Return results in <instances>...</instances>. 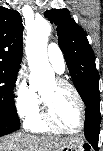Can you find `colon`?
I'll return each instance as SVG.
<instances>
[{
  "label": "colon",
  "instance_id": "colon-1",
  "mask_svg": "<svg viewBox=\"0 0 103 151\" xmlns=\"http://www.w3.org/2000/svg\"><path fill=\"white\" fill-rule=\"evenodd\" d=\"M84 151H90V149L89 148H85Z\"/></svg>",
  "mask_w": 103,
  "mask_h": 151
}]
</instances>
